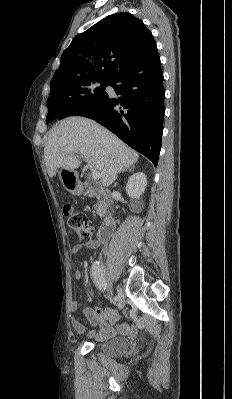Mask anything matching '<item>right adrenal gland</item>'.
Returning <instances> with one entry per match:
<instances>
[{"mask_svg": "<svg viewBox=\"0 0 232 399\" xmlns=\"http://www.w3.org/2000/svg\"><path fill=\"white\" fill-rule=\"evenodd\" d=\"M135 166H130V168H126V170H121V172H134ZM120 174V172H118Z\"/></svg>", "mask_w": 232, "mask_h": 399, "instance_id": "right-adrenal-gland-1", "label": "right adrenal gland"}]
</instances>
